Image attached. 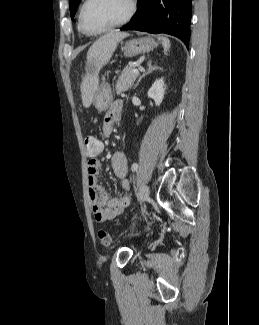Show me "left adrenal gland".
I'll list each match as a JSON object with an SVG mask.
<instances>
[{
    "label": "left adrenal gland",
    "mask_w": 259,
    "mask_h": 325,
    "mask_svg": "<svg viewBox=\"0 0 259 325\" xmlns=\"http://www.w3.org/2000/svg\"><path fill=\"white\" fill-rule=\"evenodd\" d=\"M147 65H148V70L142 76L139 77V79H138V81H137V83L135 85V88L139 85V83L142 80V78H144L146 75L152 73L154 70L159 69L158 66L152 65V61L151 60L148 61Z\"/></svg>",
    "instance_id": "a2214340"
}]
</instances>
